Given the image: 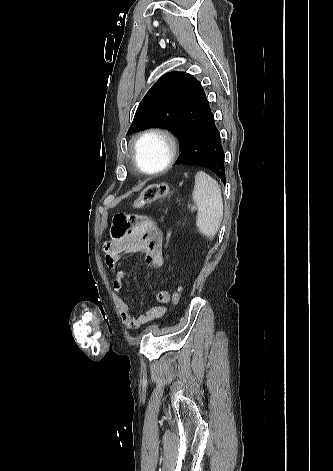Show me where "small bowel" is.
<instances>
[{
	"instance_id": "small-bowel-1",
	"label": "small bowel",
	"mask_w": 333,
	"mask_h": 471,
	"mask_svg": "<svg viewBox=\"0 0 333 471\" xmlns=\"http://www.w3.org/2000/svg\"><path fill=\"white\" fill-rule=\"evenodd\" d=\"M111 234V239L103 244L105 264L110 271L120 266V261L125 255L134 253H143L146 265L151 268L163 266V232L152 219L142 215L116 213L112 218ZM126 274L125 268L117 271L111 290L112 301L125 327L135 330L163 317L167 312L165 305L170 302L171 298L167 290H160L156 293L155 300L158 305L150 307L139 316L132 315L128 303L122 296Z\"/></svg>"
}]
</instances>
